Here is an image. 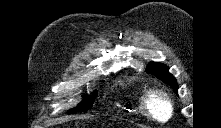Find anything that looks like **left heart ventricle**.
<instances>
[{"instance_id": "left-heart-ventricle-1", "label": "left heart ventricle", "mask_w": 221, "mask_h": 128, "mask_svg": "<svg viewBox=\"0 0 221 128\" xmlns=\"http://www.w3.org/2000/svg\"><path fill=\"white\" fill-rule=\"evenodd\" d=\"M156 112H157L158 117H161V118L165 117L166 115V110L162 105L156 106Z\"/></svg>"}]
</instances>
